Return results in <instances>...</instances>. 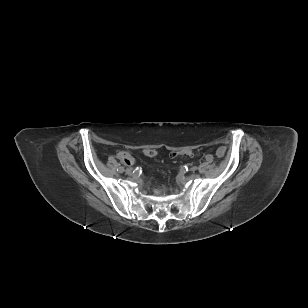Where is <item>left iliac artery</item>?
Returning <instances> with one entry per match:
<instances>
[{
	"label": "left iliac artery",
	"instance_id": "44dca946",
	"mask_svg": "<svg viewBox=\"0 0 308 308\" xmlns=\"http://www.w3.org/2000/svg\"><path fill=\"white\" fill-rule=\"evenodd\" d=\"M205 159H206V161L211 162L213 158H212V156L208 155V156H206Z\"/></svg>",
	"mask_w": 308,
	"mask_h": 308
}]
</instances>
